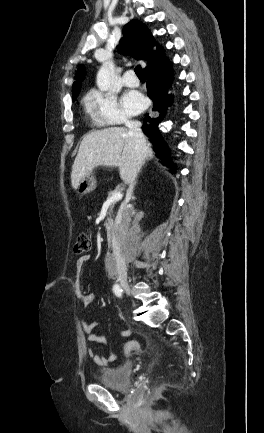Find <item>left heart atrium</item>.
Listing matches in <instances>:
<instances>
[{
	"mask_svg": "<svg viewBox=\"0 0 264 433\" xmlns=\"http://www.w3.org/2000/svg\"><path fill=\"white\" fill-rule=\"evenodd\" d=\"M123 106L129 114H138L146 107V101L140 93L128 92L123 97Z\"/></svg>",
	"mask_w": 264,
	"mask_h": 433,
	"instance_id": "obj_1",
	"label": "left heart atrium"
}]
</instances>
